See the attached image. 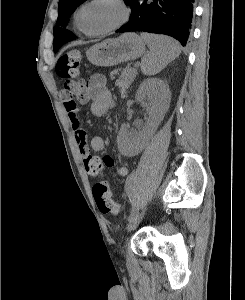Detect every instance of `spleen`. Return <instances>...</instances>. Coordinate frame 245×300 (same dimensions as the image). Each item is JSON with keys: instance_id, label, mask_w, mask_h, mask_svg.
Returning a JSON list of instances; mask_svg holds the SVG:
<instances>
[{"instance_id": "3e777b00", "label": "spleen", "mask_w": 245, "mask_h": 300, "mask_svg": "<svg viewBox=\"0 0 245 300\" xmlns=\"http://www.w3.org/2000/svg\"><path fill=\"white\" fill-rule=\"evenodd\" d=\"M141 38L147 43L150 53L141 61V71L151 76L159 73L181 53L179 43L167 36L141 33Z\"/></svg>"}]
</instances>
